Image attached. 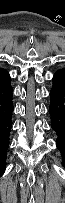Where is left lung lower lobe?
I'll return each mask as SVG.
<instances>
[{"label":"left lung lower lobe","instance_id":"left-lung-lower-lobe-1","mask_svg":"<svg viewBox=\"0 0 65 203\" xmlns=\"http://www.w3.org/2000/svg\"><path fill=\"white\" fill-rule=\"evenodd\" d=\"M50 99L51 127L58 135L57 148L62 154V163L65 166V69L55 73Z\"/></svg>","mask_w":65,"mask_h":203}]
</instances>
